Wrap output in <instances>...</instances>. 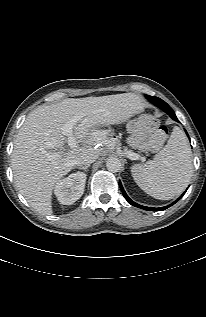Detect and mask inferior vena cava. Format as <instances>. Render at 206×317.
<instances>
[{
	"label": "inferior vena cava",
	"mask_w": 206,
	"mask_h": 317,
	"mask_svg": "<svg viewBox=\"0 0 206 317\" xmlns=\"http://www.w3.org/2000/svg\"><path fill=\"white\" fill-rule=\"evenodd\" d=\"M97 158H98L97 154L88 152V153H85V154L79 156L76 159L75 164L78 166H87V165H90L91 163H93Z\"/></svg>",
	"instance_id": "1"
}]
</instances>
